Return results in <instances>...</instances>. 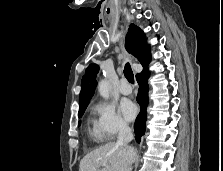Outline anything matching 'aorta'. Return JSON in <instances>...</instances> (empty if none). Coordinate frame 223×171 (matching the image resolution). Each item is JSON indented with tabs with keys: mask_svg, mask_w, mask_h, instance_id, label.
<instances>
[{
	"mask_svg": "<svg viewBox=\"0 0 223 171\" xmlns=\"http://www.w3.org/2000/svg\"><path fill=\"white\" fill-rule=\"evenodd\" d=\"M98 91L103 98L108 99L110 91L109 83L106 80L100 81L98 84Z\"/></svg>",
	"mask_w": 223,
	"mask_h": 171,
	"instance_id": "1",
	"label": "aorta"
}]
</instances>
